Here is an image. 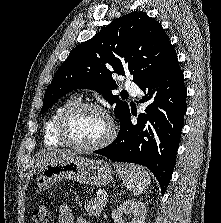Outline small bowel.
<instances>
[{
    "mask_svg": "<svg viewBox=\"0 0 221 223\" xmlns=\"http://www.w3.org/2000/svg\"><path fill=\"white\" fill-rule=\"evenodd\" d=\"M59 223H89L83 218H76L67 204H61L58 209Z\"/></svg>",
    "mask_w": 221,
    "mask_h": 223,
    "instance_id": "1",
    "label": "small bowel"
}]
</instances>
